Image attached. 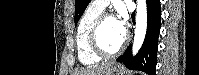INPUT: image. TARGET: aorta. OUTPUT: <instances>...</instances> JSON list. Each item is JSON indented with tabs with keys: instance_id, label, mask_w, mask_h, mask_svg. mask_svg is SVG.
Wrapping results in <instances>:
<instances>
[{
	"instance_id": "1",
	"label": "aorta",
	"mask_w": 199,
	"mask_h": 75,
	"mask_svg": "<svg viewBox=\"0 0 199 75\" xmlns=\"http://www.w3.org/2000/svg\"><path fill=\"white\" fill-rule=\"evenodd\" d=\"M147 30V6L146 0H137V10H136V25H135V35L132 47L133 55H136L141 48Z\"/></svg>"
}]
</instances>
